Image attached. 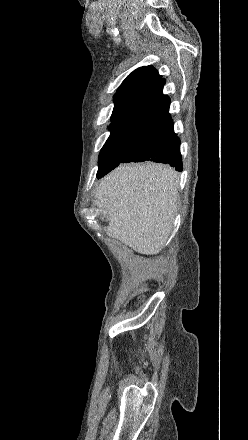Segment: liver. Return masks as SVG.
<instances>
[{"mask_svg": "<svg viewBox=\"0 0 248 440\" xmlns=\"http://www.w3.org/2000/svg\"><path fill=\"white\" fill-rule=\"evenodd\" d=\"M179 178L169 166L120 165L103 178L95 205L109 220L108 235L154 255L166 243L177 212Z\"/></svg>", "mask_w": 248, "mask_h": 440, "instance_id": "6515ba94", "label": "liver"}]
</instances>
